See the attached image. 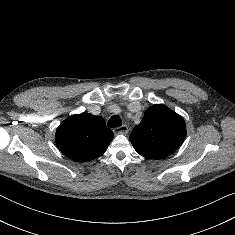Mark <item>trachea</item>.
Instances as JSON below:
<instances>
[{
	"label": "trachea",
	"mask_w": 235,
	"mask_h": 235,
	"mask_svg": "<svg viewBox=\"0 0 235 235\" xmlns=\"http://www.w3.org/2000/svg\"><path fill=\"white\" fill-rule=\"evenodd\" d=\"M122 125V120L118 115H113L108 121L109 128H117Z\"/></svg>",
	"instance_id": "trachea-1"
}]
</instances>
